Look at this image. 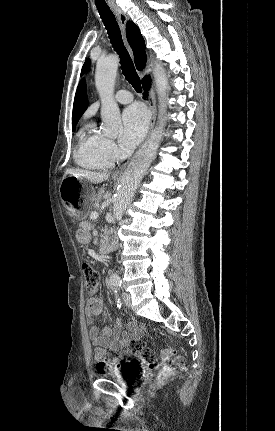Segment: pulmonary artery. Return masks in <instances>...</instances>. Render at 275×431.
Here are the masks:
<instances>
[{
	"label": "pulmonary artery",
	"instance_id": "pulmonary-artery-1",
	"mask_svg": "<svg viewBox=\"0 0 275 431\" xmlns=\"http://www.w3.org/2000/svg\"><path fill=\"white\" fill-rule=\"evenodd\" d=\"M132 99H133L132 94L127 90H119L115 94V100L121 104H127V103L131 102Z\"/></svg>",
	"mask_w": 275,
	"mask_h": 431
}]
</instances>
